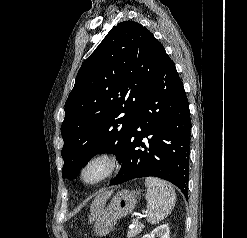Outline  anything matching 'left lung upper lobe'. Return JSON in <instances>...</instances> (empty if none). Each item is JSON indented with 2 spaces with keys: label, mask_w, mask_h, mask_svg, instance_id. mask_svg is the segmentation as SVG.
<instances>
[{
  "label": "left lung upper lobe",
  "mask_w": 247,
  "mask_h": 238,
  "mask_svg": "<svg viewBox=\"0 0 247 238\" xmlns=\"http://www.w3.org/2000/svg\"><path fill=\"white\" fill-rule=\"evenodd\" d=\"M163 45L134 21L114 26L82 64L61 126L63 178L97 153L122 158L132 126L165 59Z\"/></svg>",
  "instance_id": "left-lung-upper-lobe-1"
}]
</instances>
